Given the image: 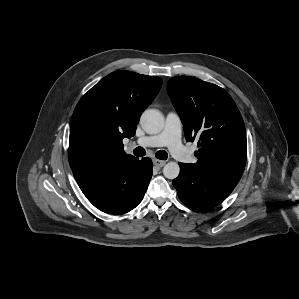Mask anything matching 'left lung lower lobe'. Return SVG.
I'll return each mask as SVG.
<instances>
[{
	"label": "left lung lower lobe",
	"instance_id": "left-lung-lower-lobe-1",
	"mask_svg": "<svg viewBox=\"0 0 299 299\" xmlns=\"http://www.w3.org/2000/svg\"><path fill=\"white\" fill-rule=\"evenodd\" d=\"M179 176L173 180L180 200L195 210H206L220 204L234 189L233 186L193 171L179 163Z\"/></svg>",
	"mask_w": 299,
	"mask_h": 299
}]
</instances>
